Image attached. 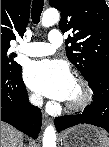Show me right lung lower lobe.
<instances>
[{"mask_svg":"<svg viewBox=\"0 0 109 147\" xmlns=\"http://www.w3.org/2000/svg\"><path fill=\"white\" fill-rule=\"evenodd\" d=\"M1 121L7 122L32 138L41 128V110L31 107L21 66L14 71L1 70Z\"/></svg>","mask_w":109,"mask_h":147,"instance_id":"1","label":"right lung lower lobe"}]
</instances>
